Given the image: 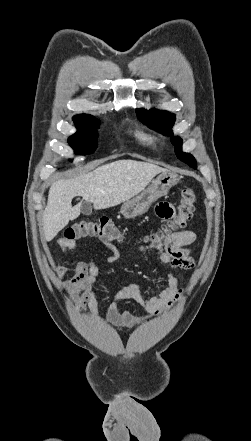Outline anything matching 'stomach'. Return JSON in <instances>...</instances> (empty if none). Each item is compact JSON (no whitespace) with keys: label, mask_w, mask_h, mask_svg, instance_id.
Here are the masks:
<instances>
[{"label":"stomach","mask_w":251,"mask_h":441,"mask_svg":"<svg viewBox=\"0 0 251 441\" xmlns=\"http://www.w3.org/2000/svg\"><path fill=\"white\" fill-rule=\"evenodd\" d=\"M179 180V176L172 171L161 172L148 188L122 204L121 214L131 219L147 212L151 204L167 195Z\"/></svg>","instance_id":"1"}]
</instances>
